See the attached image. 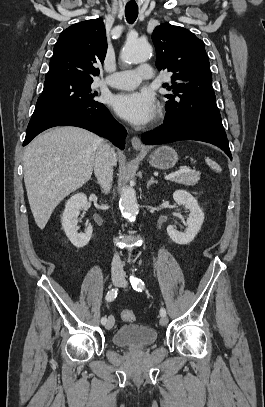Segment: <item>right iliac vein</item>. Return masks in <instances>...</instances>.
Returning a JSON list of instances; mask_svg holds the SVG:
<instances>
[{"instance_id": "right-iliac-vein-1", "label": "right iliac vein", "mask_w": 265, "mask_h": 407, "mask_svg": "<svg viewBox=\"0 0 265 407\" xmlns=\"http://www.w3.org/2000/svg\"><path fill=\"white\" fill-rule=\"evenodd\" d=\"M112 283L114 286H118L122 283V279L118 278V277H114L112 279ZM113 325H114V318L112 316H109L107 319V322L105 324V328L109 330L113 327Z\"/></svg>"}]
</instances>
